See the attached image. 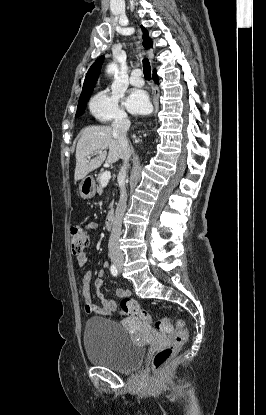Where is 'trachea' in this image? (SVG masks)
I'll return each instance as SVG.
<instances>
[{
  "mask_svg": "<svg viewBox=\"0 0 266 415\" xmlns=\"http://www.w3.org/2000/svg\"><path fill=\"white\" fill-rule=\"evenodd\" d=\"M143 72H144L145 78L147 80H150L151 79V67L147 59H143Z\"/></svg>",
  "mask_w": 266,
  "mask_h": 415,
  "instance_id": "1",
  "label": "trachea"
}]
</instances>
